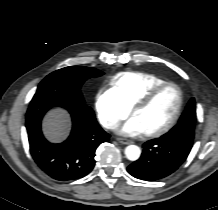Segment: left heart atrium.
<instances>
[{
    "label": "left heart atrium",
    "instance_id": "obj_1",
    "mask_svg": "<svg viewBox=\"0 0 218 210\" xmlns=\"http://www.w3.org/2000/svg\"><path fill=\"white\" fill-rule=\"evenodd\" d=\"M120 133L127 136H138L144 133V130L139 120L132 116L120 128Z\"/></svg>",
    "mask_w": 218,
    "mask_h": 210
}]
</instances>
